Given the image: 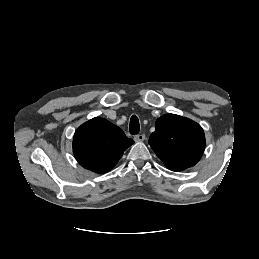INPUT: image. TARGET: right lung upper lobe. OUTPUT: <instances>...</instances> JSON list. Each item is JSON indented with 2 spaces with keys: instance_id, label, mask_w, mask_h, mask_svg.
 <instances>
[{
  "instance_id": "obj_1",
  "label": "right lung upper lobe",
  "mask_w": 259,
  "mask_h": 259,
  "mask_svg": "<svg viewBox=\"0 0 259 259\" xmlns=\"http://www.w3.org/2000/svg\"><path fill=\"white\" fill-rule=\"evenodd\" d=\"M133 143L119 127L95 117L76 130L73 153L82 167L95 173H105L117 164Z\"/></svg>"
}]
</instances>
